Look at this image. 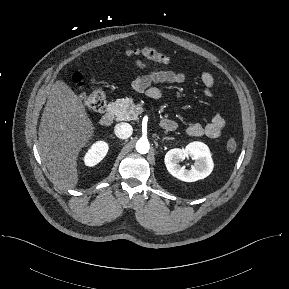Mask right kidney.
<instances>
[{
	"label": "right kidney",
	"instance_id": "ca27d5eb",
	"mask_svg": "<svg viewBox=\"0 0 289 289\" xmlns=\"http://www.w3.org/2000/svg\"><path fill=\"white\" fill-rule=\"evenodd\" d=\"M109 146L104 141L94 143L84 156L86 166L92 167L98 164L107 154Z\"/></svg>",
	"mask_w": 289,
	"mask_h": 289
}]
</instances>
